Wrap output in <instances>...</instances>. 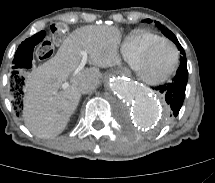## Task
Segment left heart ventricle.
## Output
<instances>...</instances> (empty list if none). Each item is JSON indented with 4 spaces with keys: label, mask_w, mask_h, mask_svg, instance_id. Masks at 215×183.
<instances>
[{
    "label": "left heart ventricle",
    "mask_w": 215,
    "mask_h": 183,
    "mask_svg": "<svg viewBox=\"0 0 215 183\" xmlns=\"http://www.w3.org/2000/svg\"><path fill=\"white\" fill-rule=\"evenodd\" d=\"M174 61V50L168 43L157 45L144 59L142 70L149 78H157L167 72Z\"/></svg>",
    "instance_id": "1"
}]
</instances>
